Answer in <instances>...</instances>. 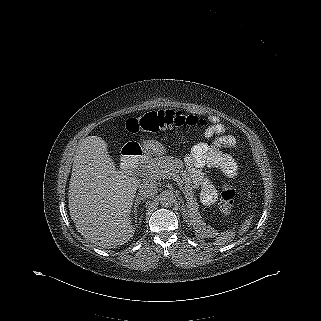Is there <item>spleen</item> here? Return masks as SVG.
<instances>
[{"mask_svg": "<svg viewBox=\"0 0 321 321\" xmlns=\"http://www.w3.org/2000/svg\"><path fill=\"white\" fill-rule=\"evenodd\" d=\"M251 218L245 220V222L242 224L241 229L239 230V233H244L248 228L249 225L251 224ZM235 237V232L234 230H227L226 232H224L221 237L218 238V242H222L225 243L227 241H231L232 239H234Z\"/></svg>", "mask_w": 321, "mask_h": 321, "instance_id": "3e777b00", "label": "spleen"}]
</instances>
